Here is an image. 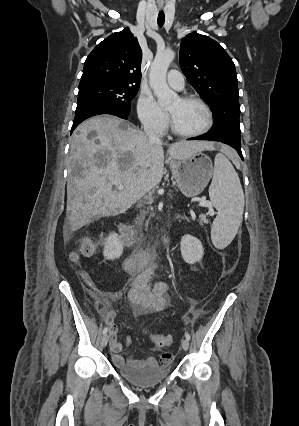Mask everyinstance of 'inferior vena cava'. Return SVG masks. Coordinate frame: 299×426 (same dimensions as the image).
I'll return each instance as SVG.
<instances>
[{
  "label": "inferior vena cava",
  "mask_w": 299,
  "mask_h": 426,
  "mask_svg": "<svg viewBox=\"0 0 299 426\" xmlns=\"http://www.w3.org/2000/svg\"><path fill=\"white\" fill-rule=\"evenodd\" d=\"M145 134L150 143H161L160 138L155 133L154 129L150 125L144 127Z\"/></svg>",
  "instance_id": "obj_1"
}]
</instances>
